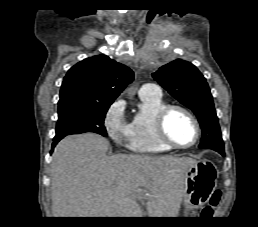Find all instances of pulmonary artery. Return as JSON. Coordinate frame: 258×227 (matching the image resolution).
<instances>
[{
    "instance_id": "e3ab8cb5",
    "label": "pulmonary artery",
    "mask_w": 258,
    "mask_h": 227,
    "mask_svg": "<svg viewBox=\"0 0 258 227\" xmlns=\"http://www.w3.org/2000/svg\"><path fill=\"white\" fill-rule=\"evenodd\" d=\"M139 94L161 96V90L158 86L152 83H147L141 86Z\"/></svg>"
}]
</instances>
